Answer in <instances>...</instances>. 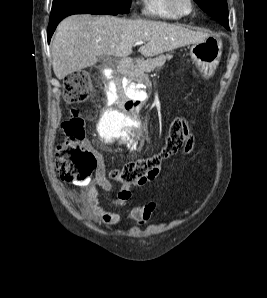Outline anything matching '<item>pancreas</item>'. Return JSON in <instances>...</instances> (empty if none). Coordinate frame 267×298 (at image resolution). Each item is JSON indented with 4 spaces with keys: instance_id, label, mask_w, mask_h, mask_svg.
Returning <instances> with one entry per match:
<instances>
[{
    "instance_id": "cf45deb5",
    "label": "pancreas",
    "mask_w": 267,
    "mask_h": 298,
    "mask_svg": "<svg viewBox=\"0 0 267 298\" xmlns=\"http://www.w3.org/2000/svg\"><path fill=\"white\" fill-rule=\"evenodd\" d=\"M169 55H160L155 59H147L145 61H139L135 66L131 68L129 72V79L140 81L147 77V73L153 71L156 68H160L164 65Z\"/></svg>"
}]
</instances>
